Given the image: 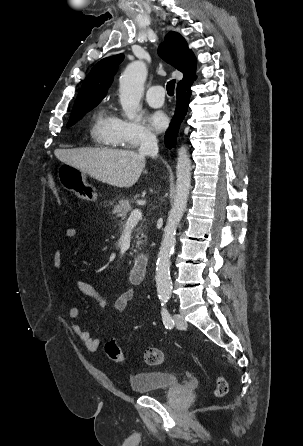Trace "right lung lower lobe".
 <instances>
[{
  "instance_id": "1",
  "label": "right lung lower lobe",
  "mask_w": 303,
  "mask_h": 446,
  "mask_svg": "<svg viewBox=\"0 0 303 446\" xmlns=\"http://www.w3.org/2000/svg\"><path fill=\"white\" fill-rule=\"evenodd\" d=\"M193 81L194 80L177 86L176 90L177 105H176L175 115L173 117L172 122L170 123V128L165 135V145L169 149L175 145L179 125L187 113L188 103L191 94L190 86L193 83Z\"/></svg>"
}]
</instances>
